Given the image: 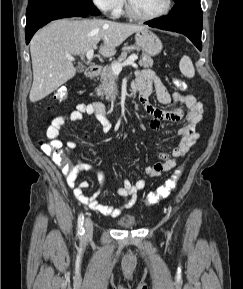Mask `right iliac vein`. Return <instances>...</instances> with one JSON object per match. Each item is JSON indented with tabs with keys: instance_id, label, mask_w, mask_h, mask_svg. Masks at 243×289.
I'll return each instance as SVG.
<instances>
[{
	"instance_id": "1",
	"label": "right iliac vein",
	"mask_w": 243,
	"mask_h": 289,
	"mask_svg": "<svg viewBox=\"0 0 243 289\" xmlns=\"http://www.w3.org/2000/svg\"><path fill=\"white\" fill-rule=\"evenodd\" d=\"M93 234V223L91 219L87 218L85 221L84 239H90Z\"/></svg>"
}]
</instances>
